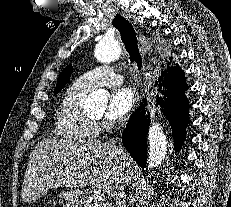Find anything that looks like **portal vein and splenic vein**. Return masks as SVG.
<instances>
[{
	"instance_id": "18ae733b",
	"label": "portal vein and splenic vein",
	"mask_w": 231,
	"mask_h": 207,
	"mask_svg": "<svg viewBox=\"0 0 231 207\" xmlns=\"http://www.w3.org/2000/svg\"><path fill=\"white\" fill-rule=\"evenodd\" d=\"M95 198H96L98 201L103 202V203H104V201H105L104 195L101 194L100 192H96V193H95Z\"/></svg>"
}]
</instances>
